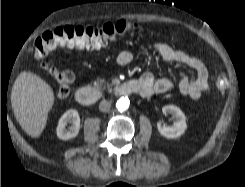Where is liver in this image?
Instances as JSON below:
<instances>
[{
	"instance_id": "6515ba94",
	"label": "liver",
	"mask_w": 245,
	"mask_h": 187,
	"mask_svg": "<svg viewBox=\"0 0 245 187\" xmlns=\"http://www.w3.org/2000/svg\"><path fill=\"white\" fill-rule=\"evenodd\" d=\"M50 85L36 74L22 72L14 82L11 103L16 120L31 137H39L54 104Z\"/></svg>"
}]
</instances>
